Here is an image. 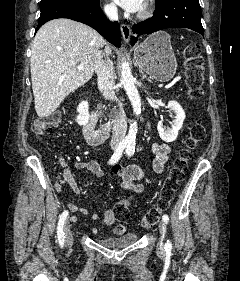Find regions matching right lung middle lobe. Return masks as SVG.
I'll return each mask as SVG.
<instances>
[{
	"instance_id": "right-lung-middle-lobe-1",
	"label": "right lung middle lobe",
	"mask_w": 240,
	"mask_h": 281,
	"mask_svg": "<svg viewBox=\"0 0 240 281\" xmlns=\"http://www.w3.org/2000/svg\"><path fill=\"white\" fill-rule=\"evenodd\" d=\"M57 1H72V2L83 3V4H95L99 0H41L40 7H43L47 4L57 2Z\"/></svg>"
}]
</instances>
